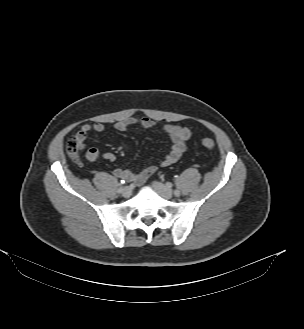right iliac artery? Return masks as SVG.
<instances>
[{
	"mask_svg": "<svg viewBox=\"0 0 304 329\" xmlns=\"http://www.w3.org/2000/svg\"><path fill=\"white\" fill-rule=\"evenodd\" d=\"M122 190H123V187L121 186L119 189H118V193H122Z\"/></svg>",
	"mask_w": 304,
	"mask_h": 329,
	"instance_id": "right-iliac-artery-1",
	"label": "right iliac artery"
}]
</instances>
